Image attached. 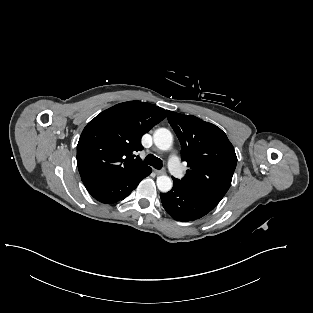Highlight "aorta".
Returning <instances> with one entry per match:
<instances>
[{
  "label": "aorta",
  "instance_id": "aorta-1",
  "mask_svg": "<svg viewBox=\"0 0 313 313\" xmlns=\"http://www.w3.org/2000/svg\"><path fill=\"white\" fill-rule=\"evenodd\" d=\"M154 143L156 147L162 151H167L171 148L173 143V136L171 132L166 128H159L153 135ZM157 187L161 192H168L173 186V182L168 176H159L157 178Z\"/></svg>",
  "mask_w": 313,
  "mask_h": 313
}]
</instances>
